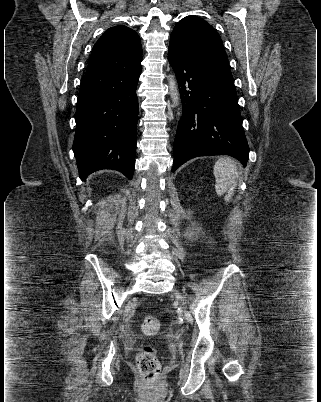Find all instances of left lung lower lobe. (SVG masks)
Here are the masks:
<instances>
[{
    "instance_id": "obj_1",
    "label": "left lung lower lobe",
    "mask_w": 321,
    "mask_h": 402,
    "mask_svg": "<svg viewBox=\"0 0 321 402\" xmlns=\"http://www.w3.org/2000/svg\"><path fill=\"white\" fill-rule=\"evenodd\" d=\"M168 60L176 74L183 108L174 140L172 172L196 156L226 154L246 165L249 146L230 69L189 60L171 48Z\"/></svg>"
}]
</instances>
